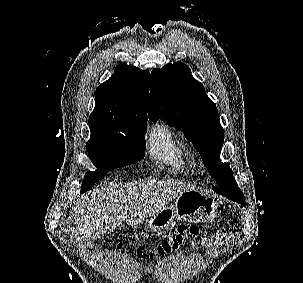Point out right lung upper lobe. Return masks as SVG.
<instances>
[{
  "label": "right lung upper lobe",
  "mask_w": 303,
  "mask_h": 283,
  "mask_svg": "<svg viewBox=\"0 0 303 283\" xmlns=\"http://www.w3.org/2000/svg\"><path fill=\"white\" fill-rule=\"evenodd\" d=\"M149 71L119 64L109 80L95 92L89 117L91 131L147 122Z\"/></svg>",
  "instance_id": "1"
}]
</instances>
